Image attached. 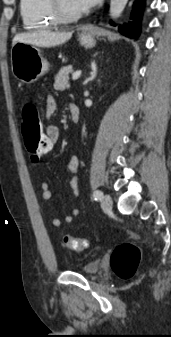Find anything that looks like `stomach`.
I'll list each match as a JSON object with an SVG mask.
<instances>
[{"label": "stomach", "mask_w": 171, "mask_h": 337, "mask_svg": "<svg viewBox=\"0 0 171 337\" xmlns=\"http://www.w3.org/2000/svg\"><path fill=\"white\" fill-rule=\"evenodd\" d=\"M80 43L86 48L95 46L94 37L90 33H82ZM11 67L15 78L29 84L48 72L49 63L35 45L17 42L11 50Z\"/></svg>", "instance_id": "obj_1"}]
</instances>
